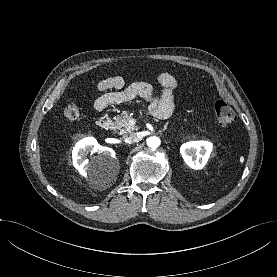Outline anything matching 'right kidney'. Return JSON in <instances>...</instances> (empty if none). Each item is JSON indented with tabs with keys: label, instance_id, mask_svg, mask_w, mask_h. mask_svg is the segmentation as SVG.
<instances>
[{
	"label": "right kidney",
	"instance_id": "obj_1",
	"mask_svg": "<svg viewBox=\"0 0 277 277\" xmlns=\"http://www.w3.org/2000/svg\"><path fill=\"white\" fill-rule=\"evenodd\" d=\"M90 151L98 152L97 159L101 164L117 163L113 149L99 145L94 138H85L76 144L72 152L73 165L83 176L98 170L96 165L89 163L86 159V155Z\"/></svg>",
	"mask_w": 277,
	"mask_h": 277
}]
</instances>
